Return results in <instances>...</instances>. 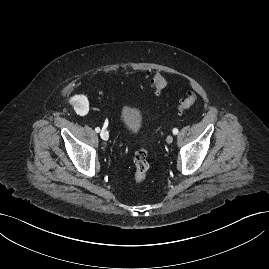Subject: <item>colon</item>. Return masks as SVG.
Here are the masks:
<instances>
[{"instance_id": "colon-1", "label": "colon", "mask_w": 269, "mask_h": 269, "mask_svg": "<svg viewBox=\"0 0 269 269\" xmlns=\"http://www.w3.org/2000/svg\"><path fill=\"white\" fill-rule=\"evenodd\" d=\"M150 84L153 90L157 93L163 92L166 89L167 81L166 79L158 73L150 74ZM196 95L192 90H188L185 97L181 100L178 105V111L184 112L190 109L196 103ZM134 180L136 183L144 182L149 173V153L145 148H140L134 155Z\"/></svg>"}]
</instances>
